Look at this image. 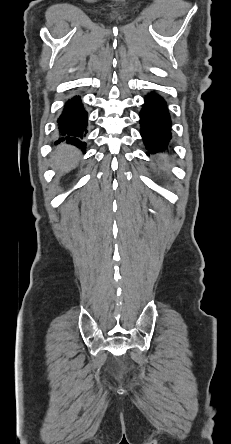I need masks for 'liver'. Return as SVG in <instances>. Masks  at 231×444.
Instances as JSON below:
<instances>
[{
    "label": "liver",
    "instance_id": "liver-1",
    "mask_svg": "<svg viewBox=\"0 0 231 444\" xmlns=\"http://www.w3.org/2000/svg\"><path fill=\"white\" fill-rule=\"evenodd\" d=\"M80 152L73 146L60 145L52 156L54 168L63 175L76 167Z\"/></svg>",
    "mask_w": 231,
    "mask_h": 444
}]
</instances>
